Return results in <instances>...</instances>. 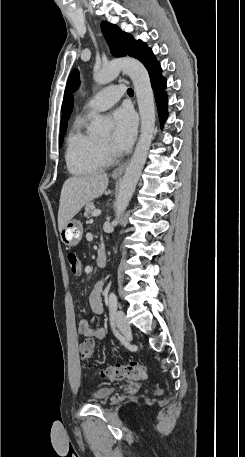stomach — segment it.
<instances>
[{
	"mask_svg": "<svg viewBox=\"0 0 245 457\" xmlns=\"http://www.w3.org/2000/svg\"><path fill=\"white\" fill-rule=\"evenodd\" d=\"M83 237V226L80 220H68L64 229L60 231V239L66 247H76Z\"/></svg>",
	"mask_w": 245,
	"mask_h": 457,
	"instance_id": "obj_1",
	"label": "stomach"
}]
</instances>
